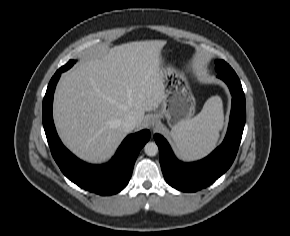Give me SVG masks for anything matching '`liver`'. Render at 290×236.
Masks as SVG:
<instances>
[{"label":"liver","instance_id":"6515ba94","mask_svg":"<svg viewBox=\"0 0 290 236\" xmlns=\"http://www.w3.org/2000/svg\"><path fill=\"white\" fill-rule=\"evenodd\" d=\"M164 40L135 41L101 51L66 72L55 92L53 117L63 143L80 159L102 163L126 136L121 122L164 98L161 51Z\"/></svg>","mask_w":290,"mask_h":236}]
</instances>
